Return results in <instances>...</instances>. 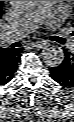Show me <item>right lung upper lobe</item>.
<instances>
[{"mask_svg":"<svg viewBox=\"0 0 74 122\" xmlns=\"http://www.w3.org/2000/svg\"><path fill=\"white\" fill-rule=\"evenodd\" d=\"M1 14H2V1H0V18H1Z\"/></svg>","mask_w":74,"mask_h":122,"instance_id":"cb5924a9","label":"right lung upper lobe"}]
</instances>
